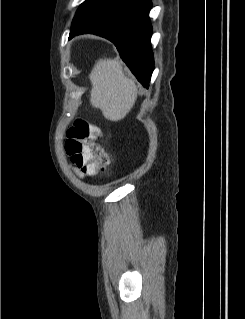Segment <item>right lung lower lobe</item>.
<instances>
[{
  "label": "right lung lower lobe",
  "mask_w": 245,
  "mask_h": 319,
  "mask_svg": "<svg viewBox=\"0 0 245 319\" xmlns=\"http://www.w3.org/2000/svg\"><path fill=\"white\" fill-rule=\"evenodd\" d=\"M150 0H130L112 14L70 34L93 33L112 41L132 73L146 88L154 70L151 50Z\"/></svg>",
  "instance_id": "right-lung-lower-lobe-1"
}]
</instances>
